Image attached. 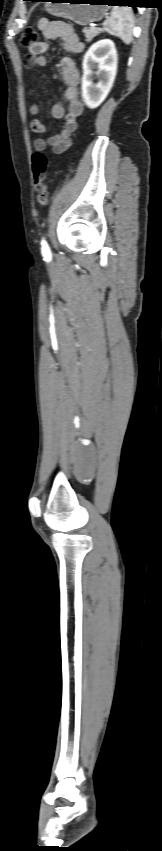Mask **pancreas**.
<instances>
[{
    "instance_id": "obj_1",
    "label": "pancreas",
    "mask_w": 162,
    "mask_h": 851,
    "mask_svg": "<svg viewBox=\"0 0 162 851\" xmlns=\"http://www.w3.org/2000/svg\"><path fill=\"white\" fill-rule=\"evenodd\" d=\"M103 30L100 28H84L83 32L86 38V42H91L94 37L99 35Z\"/></svg>"
}]
</instances>
